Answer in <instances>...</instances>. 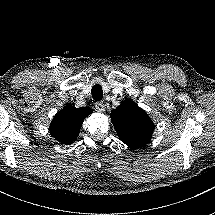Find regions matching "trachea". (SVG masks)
Wrapping results in <instances>:
<instances>
[{"instance_id": "obj_1", "label": "trachea", "mask_w": 215, "mask_h": 215, "mask_svg": "<svg viewBox=\"0 0 215 215\" xmlns=\"http://www.w3.org/2000/svg\"><path fill=\"white\" fill-rule=\"evenodd\" d=\"M92 97L96 101H101L103 98V90L102 87L97 84L92 87Z\"/></svg>"}]
</instances>
